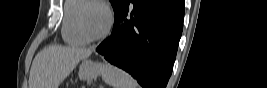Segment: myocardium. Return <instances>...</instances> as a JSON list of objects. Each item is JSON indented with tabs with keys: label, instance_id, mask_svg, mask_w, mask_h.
<instances>
[{
	"label": "myocardium",
	"instance_id": "f54148a6",
	"mask_svg": "<svg viewBox=\"0 0 267 88\" xmlns=\"http://www.w3.org/2000/svg\"><path fill=\"white\" fill-rule=\"evenodd\" d=\"M89 5H96L99 6L101 8H103L107 14V25L104 29V31L97 35V36H91L87 33L84 24H83V11L84 9L89 6ZM113 13L110 9V7L99 0H89L87 3H85L84 5L81 6V8L78 11L77 14V26H78V30L80 35L87 41V42H96V41H100L102 39H104L111 31L112 26H113Z\"/></svg>",
	"mask_w": 267,
	"mask_h": 88
}]
</instances>
